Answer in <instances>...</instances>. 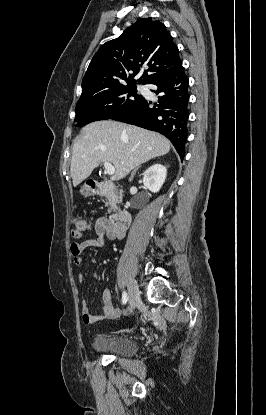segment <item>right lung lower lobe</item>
<instances>
[{
	"mask_svg": "<svg viewBox=\"0 0 266 415\" xmlns=\"http://www.w3.org/2000/svg\"><path fill=\"white\" fill-rule=\"evenodd\" d=\"M158 87L159 104L143 100L136 106L111 119L136 125L166 136L174 145L181 159L185 155L188 130L189 80L182 65L171 73L151 82Z\"/></svg>",
	"mask_w": 266,
	"mask_h": 415,
	"instance_id": "1",
	"label": "right lung lower lobe"
}]
</instances>
